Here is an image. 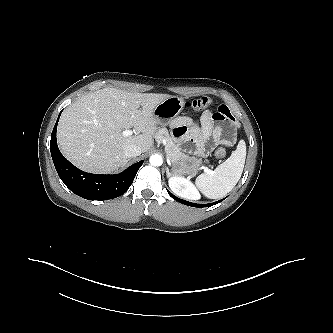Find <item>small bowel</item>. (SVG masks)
<instances>
[{
	"instance_id": "1",
	"label": "small bowel",
	"mask_w": 333,
	"mask_h": 333,
	"mask_svg": "<svg viewBox=\"0 0 333 333\" xmlns=\"http://www.w3.org/2000/svg\"><path fill=\"white\" fill-rule=\"evenodd\" d=\"M225 125L228 138H224ZM236 123L226 105H220L216 111L203 112L200 122L189 117H179L172 122L173 134L183 142L191 144L193 152L206 156L217 145H230L235 138Z\"/></svg>"
}]
</instances>
